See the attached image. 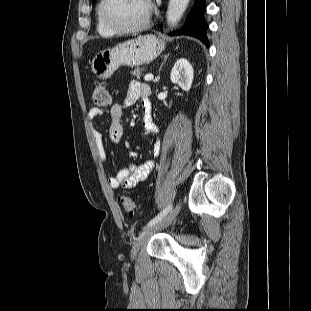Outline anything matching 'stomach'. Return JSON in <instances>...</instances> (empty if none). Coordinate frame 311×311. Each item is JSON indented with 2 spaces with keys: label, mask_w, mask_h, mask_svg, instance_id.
<instances>
[{
  "label": "stomach",
  "mask_w": 311,
  "mask_h": 311,
  "mask_svg": "<svg viewBox=\"0 0 311 311\" xmlns=\"http://www.w3.org/2000/svg\"><path fill=\"white\" fill-rule=\"evenodd\" d=\"M165 49V41L149 34L119 43L99 52L91 67L99 79H107L122 65L140 66L156 59Z\"/></svg>",
  "instance_id": "obj_1"
}]
</instances>
